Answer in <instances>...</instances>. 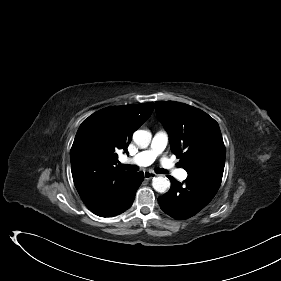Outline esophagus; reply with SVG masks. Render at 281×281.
<instances>
[{
	"instance_id": "obj_1",
	"label": "esophagus",
	"mask_w": 281,
	"mask_h": 281,
	"mask_svg": "<svg viewBox=\"0 0 281 281\" xmlns=\"http://www.w3.org/2000/svg\"><path fill=\"white\" fill-rule=\"evenodd\" d=\"M156 176H157V174L154 173V172H151V171H145V172H144V178H145L146 180H150V179H152V178H154V177H156Z\"/></svg>"
}]
</instances>
